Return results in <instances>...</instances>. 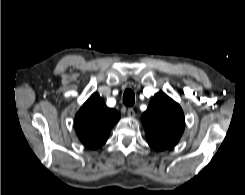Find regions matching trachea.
Returning <instances> with one entry per match:
<instances>
[{
	"instance_id": "obj_1",
	"label": "trachea",
	"mask_w": 245,
	"mask_h": 195,
	"mask_svg": "<svg viewBox=\"0 0 245 195\" xmlns=\"http://www.w3.org/2000/svg\"><path fill=\"white\" fill-rule=\"evenodd\" d=\"M123 103L124 105L130 107L135 103V94L133 90L127 89L123 94Z\"/></svg>"
}]
</instances>
